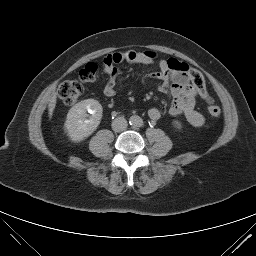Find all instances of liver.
<instances>
[{
	"label": "liver",
	"instance_id": "6515ba94",
	"mask_svg": "<svg viewBox=\"0 0 256 256\" xmlns=\"http://www.w3.org/2000/svg\"><path fill=\"white\" fill-rule=\"evenodd\" d=\"M56 94H53V96L51 97L49 104H48V111H49V117L51 118L53 115V111L55 109L56 106Z\"/></svg>",
	"mask_w": 256,
	"mask_h": 256
}]
</instances>
